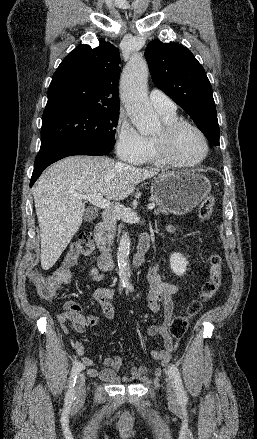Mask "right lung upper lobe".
<instances>
[{
  "instance_id": "right-lung-upper-lobe-1",
  "label": "right lung upper lobe",
  "mask_w": 257,
  "mask_h": 439,
  "mask_svg": "<svg viewBox=\"0 0 257 439\" xmlns=\"http://www.w3.org/2000/svg\"><path fill=\"white\" fill-rule=\"evenodd\" d=\"M120 61L119 51L109 42L96 48L77 46L52 77L43 118L76 109H119Z\"/></svg>"
}]
</instances>
